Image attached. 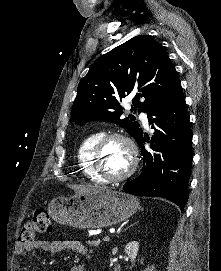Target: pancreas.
I'll return each mask as SVG.
<instances>
[{"mask_svg":"<svg viewBox=\"0 0 221 271\" xmlns=\"http://www.w3.org/2000/svg\"><path fill=\"white\" fill-rule=\"evenodd\" d=\"M84 244L87 245V247H101V244L103 243L102 239H89V241H83Z\"/></svg>","mask_w":221,"mask_h":271,"instance_id":"pancreas-1","label":"pancreas"}]
</instances>
